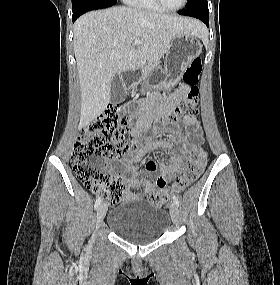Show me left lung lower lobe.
I'll list each match as a JSON object with an SVG mask.
<instances>
[{"mask_svg":"<svg viewBox=\"0 0 280 285\" xmlns=\"http://www.w3.org/2000/svg\"><path fill=\"white\" fill-rule=\"evenodd\" d=\"M178 13L181 14V15L198 18L199 20L203 21L209 27V10H208V6L184 9L182 11H179Z\"/></svg>","mask_w":280,"mask_h":285,"instance_id":"left-lung-lower-lobe-1","label":"left lung lower lobe"}]
</instances>
